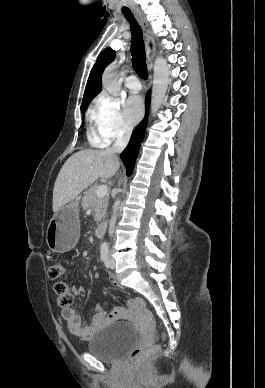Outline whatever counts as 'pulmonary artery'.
<instances>
[{"mask_svg": "<svg viewBox=\"0 0 265 388\" xmlns=\"http://www.w3.org/2000/svg\"><path fill=\"white\" fill-rule=\"evenodd\" d=\"M137 75H127L126 81L129 83V90L131 94H140L139 80Z\"/></svg>", "mask_w": 265, "mask_h": 388, "instance_id": "1", "label": "pulmonary artery"}]
</instances>
